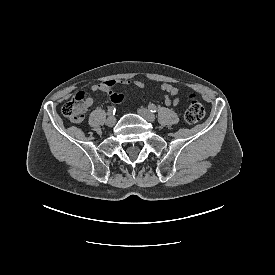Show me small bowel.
I'll use <instances>...</instances> for the list:
<instances>
[{"label": "small bowel", "mask_w": 275, "mask_h": 275, "mask_svg": "<svg viewBox=\"0 0 275 275\" xmlns=\"http://www.w3.org/2000/svg\"><path fill=\"white\" fill-rule=\"evenodd\" d=\"M117 84H133L137 88H144L145 83L141 80H127V79H120V80H107L103 81L98 84H94L91 86V91L92 92H104L109 95L110 100L113 103H121L124 100V96L121 93H118L115 91V86ZM160 90L164 94V103L166 106H176L180 102L179 98V90L176 86L172 85L171 83H162L160 85ZM93 100L91 97H88V104L89 106L92 104Z\"/></svg>", "instance_id": "obj_1"}]
</instances>
